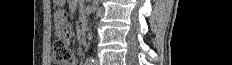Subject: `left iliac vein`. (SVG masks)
Here are the masks:
<instances>
[{
	"instance_id": "obj_1",
	"label": "left iliac vein",
	"mask_w": 232,
	"mask_h": 65,
	"mask_svg": "<svg viewBox=\"0 0 232 65\" xmlns=\"http://www.w3.org/2000/svg\"><path fill=\"white\" fill-rule=\"evenodd\" d=\"M95 65H99L98 62H95Z\"/></svg>"
}]
</instances>
